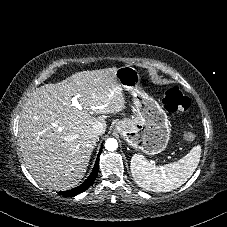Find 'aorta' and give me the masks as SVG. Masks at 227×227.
Instances as JSON below:
<instances>
[{"mask_svg":"<svg viewBox=\"0 0 227 227\" xmlns=\"http://www.w3.org/2000/svg\"><path fill=\"white\" fill-rule=\"evenodd\" d=\"M105 148L108 151H115L118 148V142L115 138H108L105 141Z\"/></svg>","mask_w":227,"mask_h":227,"instance_id":"1","label":"aorta"}]
</instances>
